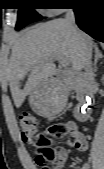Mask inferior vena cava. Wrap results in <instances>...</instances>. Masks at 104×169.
<instances>
[{
    "instance_id": "1",
    "label": "inferior vena cava",
    "mask_w": 104,
    "mask_h": 169,
    "mask_svg": "<svg viewBox=\"0 0 104 169\" xmlns=\"http://www.w3.org/2000/svg\"><path fill=\"white\" fill-rule=\"evenodd\" d=\"M65 21L72 31L74 35H77V27L75 25V14L72 9H67L65 13ZM84 69H85V76L88 80V83L91 87H95L96 82H95V75H94V70L92 68V62H91V52L90 50L86 49L85 53V64H84Z\"/></svg>"
}]
</instances>
